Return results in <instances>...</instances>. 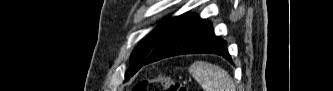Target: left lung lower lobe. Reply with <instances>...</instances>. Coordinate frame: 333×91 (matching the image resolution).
Returning a JSON list of instances; mask_svg holds the SVG:
<instances>
[{
  "mask_svg": "<svg viewBox=\"0 0 333 91\" xmlns=\"http://www.w3.org/2000/svg\"><path fill=\"white\" fill-rule=\"evenodd\" d=\"M199 53L217 54L232 63L226 42L214 35L211 22L194 14H184L165 33L141 66L170 56Z\"/></svg>",
  "mask_w": 333,
  "mask_h": 91,
  "instance_id": "obj_1",
  "label": "left lung lower lobe"
}]
</instances>
